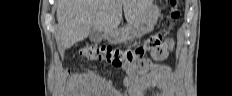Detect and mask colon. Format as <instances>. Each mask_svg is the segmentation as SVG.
I'll use <instances>...</instances> for the list:
<instances>
[{
  "label": "colon",
  "mask_w": 232,
  "mask_h": 96,
  "mask_svg": "<svg viewBox=\"0 0 232 96\" xmlns=\"http://www.w3.org/2000/svg\"><path fill=\"white\" fill-rule=\"evenodd\" d=\"M171 3L174 5L175 1H171ZM170 16L173 21H176L179 17L178 10L172 8ZM169 30L170 29L168 28L151 35L143 47H138L133 50H121L106 46L97 47L93 45H87L79 50V54L91 59L104 60L115 65L125 63L127 66H130L136 58L143 57L146 49L152 48L153 56L160 60L165 58L167 55V50L163 47V45L165 43L164 39ZM151 68V63L149 61L143 60L133 72L143 73Z\"/></svg>",
  "instance_id": "obj_1"
}]
</instances>
